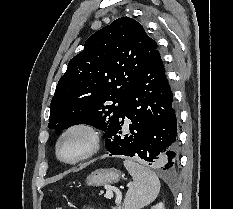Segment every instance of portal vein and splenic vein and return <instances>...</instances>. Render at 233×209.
Returning a JSON list of instances; mask_svg holds the SVG:
<instances>
[{"mask_svg":"<svg viewBox=\"0 0 233 209\" xmlns=\"http://www.w3.org/2000/svg\"><path fill=\"white\" fill-rule=\"evenodd\" d=\"M116 193H117V197H116V203L119 204L121 202V199H122V195H121V192L116 190ZM105 197L107 199H111L113 197V192L112 190L110 189H107L106 191V194H105Z\"/></svg>","mask_w":233,"mask_h":209,"instance_id":"obj_1","label":"portal vein and splenic vein"}]
</instances>
